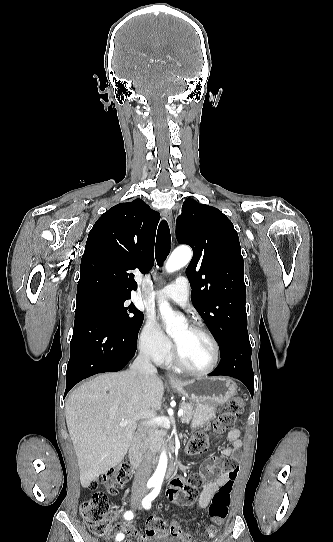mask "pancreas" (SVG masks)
I'll return each mask as SVG.
<instances>
[{
    "label": "pancreas",
    "instance_id": "cf45deb5",
    "mask_svg": "<svg viewBox=\"0 0 333 542\" xmlns=\"http://www.w3.org/2000/svg\"><path fill=\"white\" fill-rule=\"evenodd\" d=\"M180 410H184L183 416H180L181 422H191L194 414V408L192 404H186V402H181L179 406ZM166 432L164 430H158V426H151L147 436L145 438L144 444L148 446L149 456L156 458L157 452H160L162 444H164L163 436Z\"/></svg>",
    "mask_w": 333,
    "mask_h": 542
}]
</instances>
